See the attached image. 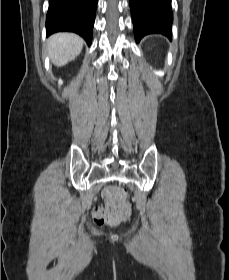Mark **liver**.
Returning a JSON list of instances; mask_svg holds the SVG:
<instances>
[{
    "label": "liver",
    "instance_id": "obj_1",
    "mask_svg": "<svg viewBox=\"0 0 229 280\" xmlns=\"http://www.w3.org/2000/svg\"><path fill=\"white\" fill-rule=\"evenodd\" d=\"M83 40L73 33H57L48 39V54L58 67L66 65L81 52Z\"/></svg>",
    "mask_w": 229,
    "mask_h": 280
}]
</instances>
